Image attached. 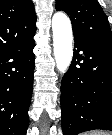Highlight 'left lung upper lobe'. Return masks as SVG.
I'll list each match as a JSON object with an SVG mask.
<instances>
[{"mask_svg":"<svg viewBox=\"0 0 112 135\" xmlns=\"http://www.w3.org/2000/svg\"><path fill=\"white\" fill-rule=\"evenodd\" d=\"M56 9L69 15L74 37L112 43L107 16L97 0H56Z\"/></svg>","mask_w":112,"mask_h":135,"instance_id":"obj_1","label":"left lung upper lobe"}]
</instances>
